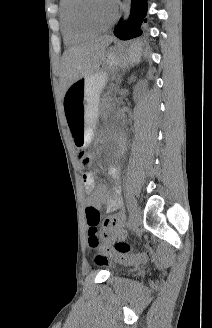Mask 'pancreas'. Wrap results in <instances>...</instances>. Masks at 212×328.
Returning a JSON list of instances; mask_svg holds the SVG:
<instances>
[{
	"mask_svg": "<svg viewBox=\"0 0 212 328\" xmlns=\"http://www.w3.org/2000/svg\"><path fill=\"white\" fill-rule=\"evenodd\" d=\"M102 107L105 109H110L112 107L111 99L109 97H105L102 100Z\"/></svg>",
	"mask_w": 212,
	"mask_h": 328,
	"instance_id": "cf45deb5",
	"label": "pancreas"
}]
</instances>
